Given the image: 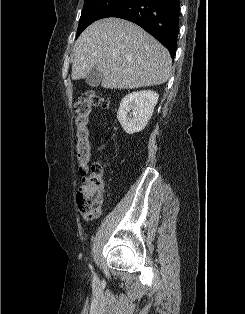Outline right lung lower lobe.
I'll return each instance as SVG.
<instances>
[{"instance_id":"98d812e1","label":"right lung lower lobe","mask_w":245,"mask_h":314,"mask_svg":"<svg viewBox=\"0 0 245 314\" xmlns=\"http://www.w3.org/2000/svg\"><path fill=\"white\" fill-rule=\"evenodd\" d=\"M179 0H127L103 18L118 17L136 23L175 55L179 32Z\"/></svg>"}]
</instances>
